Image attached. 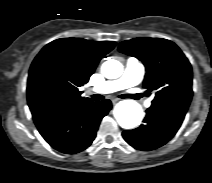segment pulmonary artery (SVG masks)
<instances>
[{"label": "pulmonary artery", "mask_w": 212, "mask_h": 183, "mask_svg": "<svg viewBox=\"0 0 212 183\" xmlns=\"http://www.w3.org/2000/svg\"><path fill=\"white\" fill-rule=\"evenodd\" d=\"M145 75L144 65L135 58H130L127 60L124 71L122 75L115 79L105 81L94 88L97 93H112L126 88H130L138 85ZM151 101L147 100L145 106L149 107Z\"/></svg>", "instance_id": "pulmonary-artery-1"}]
</instances>
